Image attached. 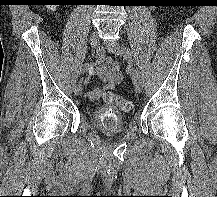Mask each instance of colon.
I'll use <instances>...</instances> for the list:
<instances>
[{"label": "colon", "instance_id": "colon-1", "mask_svg": "<svg viewBox=\"0 0 217 197\" xmlns=\"http://www.w3.org/2000/svg\"><path fill=\"white\" fill-rule=\"evenodd\" d=\"M105 102L111 106H118L122 111L128 112L132 109V103L110 91H106L103 94Z\"/></svg>", "mask_w": 217, "mask_h": 197}]
</instances>
